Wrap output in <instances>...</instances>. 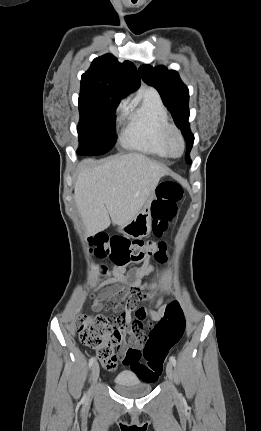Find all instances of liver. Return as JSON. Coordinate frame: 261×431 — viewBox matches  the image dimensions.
<instances>
[{
    "mask_svg": "<svg viewBox=\"0 0 261 431\" xmlns=\"http://www.w3.org/2000/svg\"><path fill=\"white\" fill-rule=\"evenodd\" d=\"M166 173L165 167L138 153L112 156L98 165L83 161L74 197L87 235L105 230L111 220L116 225L131 221Z\"/></svg>",
    "mask_w": 261,
    "mask_h": 431,
    "instance_id": "6515ba94",
    "label": "liver"
}]
</instances>
